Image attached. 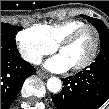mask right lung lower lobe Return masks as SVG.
Wrapping results in <instances>:
<instances>
[{
	"label": "right lung lower lobe",
	"mask_w": 109,
	"mask_h": 109,
	"mask_svg": "<svg viewBox=\"0 0 109 109\" xmlns=\"http://www.w3.org/2000/svg\"><path fill=\"white\" fill-rule=\"evenodd\" d=\"M36 69L19 56L17 48L1 43V109H7L21 90L25 79Z\"/></svg>",
	"instance_id": "1"
}]
</instances>
